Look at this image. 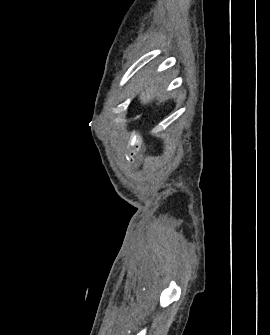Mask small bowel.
Segmentation results:
<instances>
[{
	"label": "small bowel",
	"instance_id": "obj_1",
	"mask_svg": "<svg viewBox=\"0 0 270 335\" xmlns=\"http://www.w3.org/2000/svg\"><path fill=\"white\" fill-rule=\"evenodd\" d=\"M124 162L126 163L127 161L125 160ZM128 162L131 165H138L139 164V159L138 158H131Z\"/></svg>",
	"mask_w": 270,
	"mask_h": 335
}]
</instances>
